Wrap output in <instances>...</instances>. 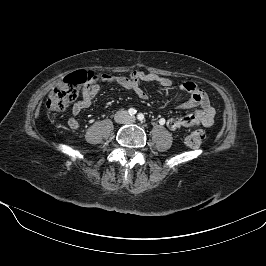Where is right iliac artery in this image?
Masks as SVG:
<instances>
[{"label": "right iliac artery", "mask_w": 266, "mask_h": 266, "mask_svg": "<svg viewBox=\"0 0 266 266\" xmlns=\"http://www.w3.org/2000/svg\"><path fill=\"white\" fill-rule=\"evenodd\" d=\"M136 112H137V111H136L134 108H130V109L128 110V113H129V115H131V116L135 115Z\"/></svg>", "instance_id": "1"}]
</instances>
